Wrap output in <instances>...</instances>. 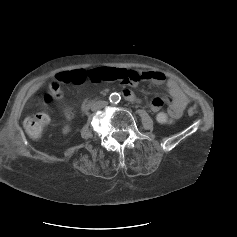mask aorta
Masks as SVG:
<instances>
[{
  "mask_svg": "<svg viewBox=\"0 0 237 237\" xmlns=\"http://www.w3.org/2000/svg\"><path fill=\"white\" fill-rule=\"evenodd\" d=\"M109 100H110L111 103L117 104V103L120 102L121 96H120L119 93L114 92V93L110 94Z\"/></svg>",
  "mask_w": 237,
  "mask_h": 237,
  "instance_id": "762f6f07",
  "label": "aorta"
}]
</instances>
